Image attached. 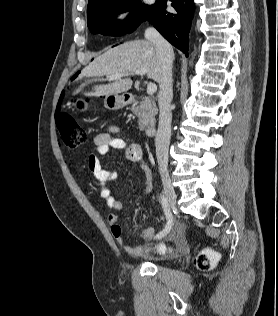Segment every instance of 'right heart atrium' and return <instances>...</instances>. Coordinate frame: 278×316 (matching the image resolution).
<instances>
[{
    "instance_id": "obj_1",
    "label": "right heart atrium",
    "mask_w": 278,
    "mask_h": 316,
    "mask_svg": "<svg viewBox=\"0 0 278 316\" xmlns=\"http://www.w3.org/2000/svg\"><path fill=\"white\" fill-rule=\"evenodd\" d=\"M113 18L120 25H128L133 19L132 8L127 4L118 6L114 11Z\"/></svg>"
}]
</instances>
